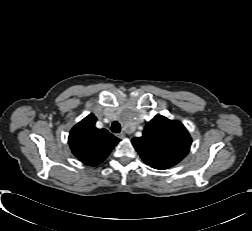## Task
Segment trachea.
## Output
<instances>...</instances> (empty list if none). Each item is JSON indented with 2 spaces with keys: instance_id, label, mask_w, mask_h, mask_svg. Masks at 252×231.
<instances>
[{
  "instance_id": "trachea-1",
  "label": "trachea",
  "mask_w": 252,
  "mask_h": 231,
  "mask_svg": "<svg viewBox=\"0 0 252 231\" xmlns=\"http://www.w3.org/2000/svg\"><path fill=\"white\" fill-rule=\"evenodd\" d=\"M111 131L114 133H119L121 131V126L118 121H114L111 126Z\"/></svg>"
}]
</instances>
